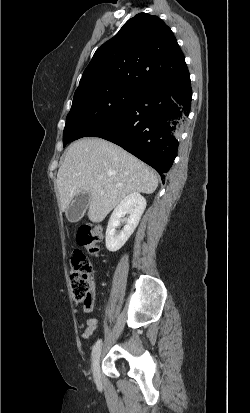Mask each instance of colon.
<instances>
[{"instance_id":"1","label":"colon","mask_w":250,"mask_h":413,"mask_svg":"<svg viewBox=\"0 0 250 413\" xmlns=\"http://www.w3.org/2000/svg\"><path fill=\"white\" fill-rule=\"evenodd\" d=\"M103 235L99 226L84 224L76 232V240L91 254L100 252ZM70 283L74 300L84 306H92L94 302L93 266L85 253L75 250L71 255Z\"/></svg>"}]
</instances>
